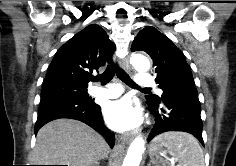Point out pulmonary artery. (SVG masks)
<instances>
[{
    "mask_svg": "<svg viewBox=\"0 0 236 166\" xmlns=\"http://www.w3.org/2000/svg\"><path fill=\"white\" fill-rule=\"evenodd\" d=\"M154 83V78L149 73L141 72L137 75L136 85L138 87H149L154 85ZM159 92L161 93V90H159ZM89 93L99 98H117L123 93V88L118 84L109 85L104 88L94 86L89 88Z\"/></svg>",
    "mask_w": 236,
    "mask_h": 166,
    "instance_id": "e3ab8cb5",
    "label": "pulmonary artery"
}]
</instances>
